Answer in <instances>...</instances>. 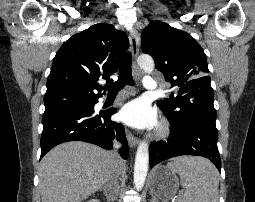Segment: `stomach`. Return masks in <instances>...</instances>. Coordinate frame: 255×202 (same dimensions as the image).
Masks as SVG:
<instances>
[{
  "label": "stomach",
  "mask_w": 255,
  "mask_h": 202,
  "mask_svg": "<svg viewBox=\"0 0 255 202\" xmlns=\"http://www.w3.org/2000/svg\"><path fill=\"white\" fill-rule=\"evenodd\" d=\"M149 189L152 195L162 202L177 197L179 179L176 174L165 166H157L150 174Z\"/></svg>",
  "instance_id": "1"
}]
</instances>
